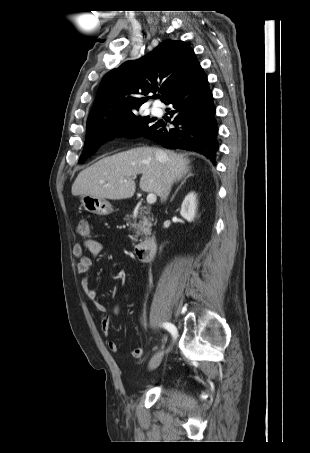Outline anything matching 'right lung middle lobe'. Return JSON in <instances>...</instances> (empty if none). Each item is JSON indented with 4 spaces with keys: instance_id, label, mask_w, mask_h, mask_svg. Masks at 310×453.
Here are the masks:
<instances>
[{
    "instance_id": "1",
    "label": "right lung middle lobe",
    "mask_w": 310,
    "mask_h": 453,
    "mask_svg": "<svg viewBox=\"0 0 310 453\" xmlns=\"http://www.w3.org/2000/svg\"><path fill=\"white\" fill-rule=\"evenodd\" d=\"M153 120L140 117L135 112L94 125L86 129V141L79 163L93 155L100 144L111 135L126 134L132 137L144 136L152 128Z\"/></svg>"
}]
</instances>
